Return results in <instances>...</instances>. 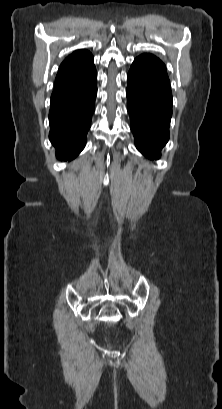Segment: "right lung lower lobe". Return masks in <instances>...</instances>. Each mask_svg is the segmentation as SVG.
I'll use <instances>...</instances> for the list:
<instances>
[{
	"instance_id": "obj_1",
	"label": "right lung lower lobe",
	"mask_w": 222,
	"mask_h": 409,
	"mask_svg": "<svg viewBox=\"0 0 222 409\" xmlns=\"http://www.w3.org/2000/svg\"><path fill=\"white\" fill-rule=\"evenodd\" d=\"M63 79L79 81L77 89L52 94L49 112V139L60 160H72L86 145L87 132L95 109L97 73L70 74Z\"/></svg>"
}]
</instances>
